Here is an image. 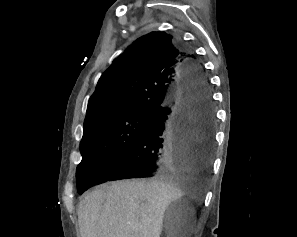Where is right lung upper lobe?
<instances>
[{
  "instance_id": "1",
  "label": "right lung upper lobe",
  "mask_w": 297,
  "mask_h": 237,
  "mask_svg": "<svg viewBox=\"0 0 297 237\" xmlns=\"http://www.w3.org/2000/svg\"><path fill=\"white\" fill-rule=\"evenodd\" d=\"M189 53L163 32L139 38L102 74L89 99L84 129L97 121L168 104L184 82Z\"/></svg>"
}]
</instances>
